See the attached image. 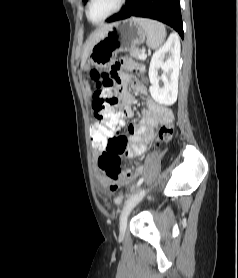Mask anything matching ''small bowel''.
Wrapping results in <instances>:
<instances>
[{
    "mask_svg": "<svg viewBox=\"0 0 238 278\" xmlns=\"http://www.w3.org/2000/svg\"><path fill=\"white\" fill-rule=\"evenodd\" d=\"M124 60H126V55H119V59H114V64H111L107 71V76H113L111 85H114L115 89H120V93H116V98H119V102H122V120L119 128L120 132L124 131V128L121 127L123 125V118H130L133 116L131 106L134 102V97L127 89L129 77L127 75L120 76V72H123V69L125 68ZM142 70L143 69L140 68V71ZM133 88L136 92L142 95L147 94V88L142 82L136 81ZM171 120V112L159 107L153 100H148L146 107L142 111V118L140 122L137 125L131 124L128 126L127 131L129 139L127 140V137L124 134H111L109 135V140L107 142L108 144L127 145V148L125 149L126 153L121 154V157L124 155L129 157L139 156L146 150L148 143L154 135L155 127L162 123H168ZM108 180L110 181L109 178L105 181L107 182Z\"/></svg>",
    "mask_w": 238,
    "mask_h": 278,
    "instance_id": "c3829d8e",
    "label": "small bowel"
}]
</instances>
